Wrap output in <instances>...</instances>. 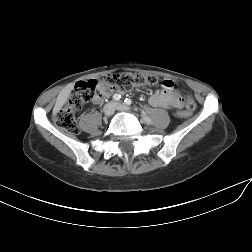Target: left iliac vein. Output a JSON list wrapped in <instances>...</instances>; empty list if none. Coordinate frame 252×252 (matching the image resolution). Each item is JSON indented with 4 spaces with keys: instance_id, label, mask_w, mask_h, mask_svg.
Listing matches in <instances>:
<instances>
[{
    "instance_id": "left-iliac-vein-1",
    "label": "left iliac vein",
    "mask_w": 252,
    "mask_h": 252,
    "mask_svg": "<svg viewBox=\"0 0 252 252\" xmlns=\"http://www.w3.org/2000/svg\"><path fill=\"white\" fill-rule=\"evenodd\" d=\"M115 108H116V110H118V111H124V112L129 111V107H127L126 105H124V104H122V103H116V104H115Z\"/></svg>"
}]
</instances>
